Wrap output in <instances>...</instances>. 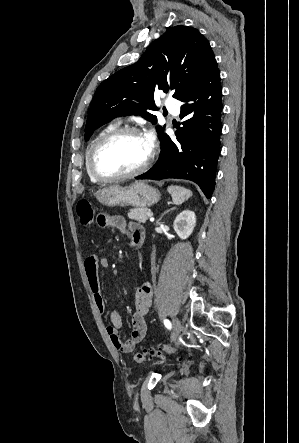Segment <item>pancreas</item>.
I'll return each mask as SVG.
<instances>
[{"label":"pancreas","instance_id":"cf45deb5","mask_svg":"<svg viewBox=\"0 0 299 443\" xmlns=\"http://www.w3.org/2000/svg\"><path fill=\"white\" fill-rule=\"evenodd\" d=\"M148 212H151L148 208H133L128 212V217L140 223H145L148 219Z\"/></svg>","mask_w":299,"mask_h":443}]
</instances>
